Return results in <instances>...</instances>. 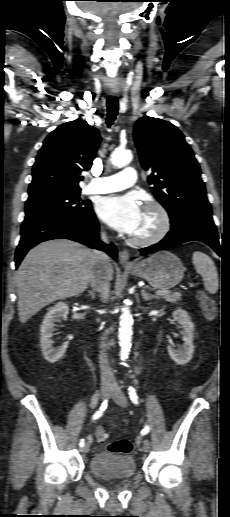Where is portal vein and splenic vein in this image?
<instances>
[{
	"instance_id": "1",
	"label": "portal vein and splenic vein",
	"mask_w": 230,
	"mask_h": 517,
	"mask_svg": "<svg viewBox=\"0 0 230 517\" xmlns=\"http://www.w3.org/2000/svg\"><path fill=\"white\" fill-rule=\"evenodd\" d=\"M168 291H156V295H163L165 293H167Z\"/></svg>"
}]
</instances>
